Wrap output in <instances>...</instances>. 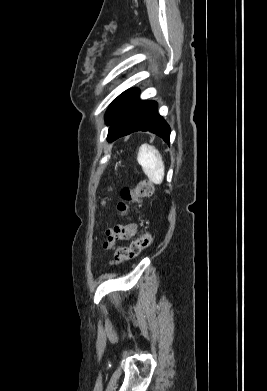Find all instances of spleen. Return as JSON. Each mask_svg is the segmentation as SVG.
Listing matches in <instances>:
<instances>
[{
	"label": "spleen",
	"mask_w": 267,
	"mask_h": 391,
	"mask_svg": "<svg viewBox=\"0 0 267 391\" xmlns=\"http://www.w3.org/2000/svg\"><path fill=\"white\" fill-rule=\"evenodd\" d=\"M137 161L151 182L155 184L163 182L165 175L164 162L161 154L154 146L142 144L138 151Z\"/></svg>",
	"instance_id": "obj_1"
}]
</instances>
